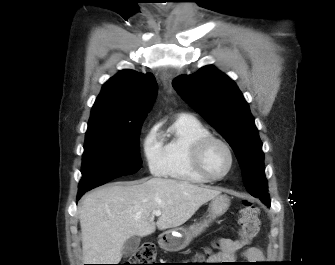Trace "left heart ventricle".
<instances>
[{
    "mask_svg": "<svg viewBox=\"0 0 335 265\" xmlns=\"http://www.w3.org/2000/svg\"><path fill=\"white\" fill-rule=\"evenodd\" d=\"M229 154L225 147L219 143H211L203 157V163L206 170L214 175L220 176L224 174L229 167Z\"/></svg>",
    "mask_w": 335,
    "mask_h": 265,
    "instance_id": "left-heart-ventricle-1",
    "label": "left heart ventricle"
}]
</instances>
